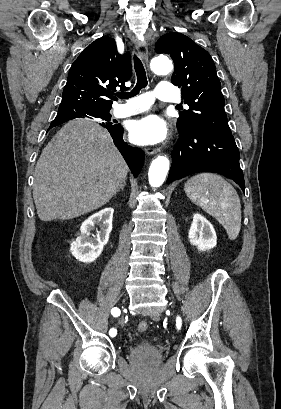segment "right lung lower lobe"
I'll use <instances>...</instances> for the list:
<instances>
[{"label": "right lung lower lobe", "mask_w": 281, "mask_h": 409, "mask_svg": "<svg viewBox=\"0 0 281 409\" xmlns=\"http://www.w3.org/2000/svg\"><path fill=\"white\" fill-rule=\"evenodd\" d=\"M100 113L101 112L94 111V110L71 111L69 109H65V110H59V113L57 114L56 118L73 119V118L82 117V116L100 118ZM110 124L111 123L104 125V123H102L101 125H104L107 128V130L110 132L114 140V144L116 145V147L119 149V151L123 155L134 177H137L144 164V152L140 148H133L127 145L123 141V128L119 124L118 125H110Z\"/></svg>", "instance_id": "1"}]
</instances>
